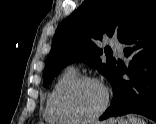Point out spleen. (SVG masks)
<instances>
[{
	"label": "spleen",
	"mask_w": 156,
	"mask_h": 124,
	"mask_svg": "<svg viewBox=\"0 0 156 124\" xmlns=\"http://www.w3.org/2000/svg\"><path fill=\"white\" fill-rule=\"evenodd\" d=\"M127 124H146V122L139 118V117H135L133 115H129L128 116V120H126Z\"/></svg>",
	"instance_id": "obj_1"
}]
</instances>
